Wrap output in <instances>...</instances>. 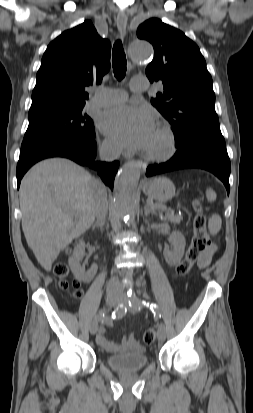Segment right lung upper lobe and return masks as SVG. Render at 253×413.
<instances>
[{
	"instance_id": "obj_1",
	"label": "right lung upper lobe",
	"mask_w": 253,
	"mask_h": 413,
	"mask_svg": "<svg viewBox=\"0 0 253 413\" xmlns=\"http://www.w3.org/2000/svg\"><path fill=\"white\" fill-rule=\"evenodd\" d=\"M110 52L89 20L63 32L42 57L29 112L85 105L86 87L101 83L110 69Z\"/></svg>"
}]
</instances>
